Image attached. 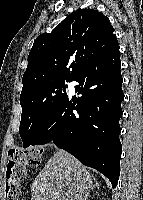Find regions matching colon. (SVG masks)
I'll return each instance as SVG.
<instances>
[{"label": "colon", "instance_id": "colon-1", "mask_svg": "<svg viewBox=\"0 0 143 200\" xmlns=\"http://www.w3.org/2000/svg\"><path fill=\"white\" fill-rule=\"evenodd\" d=\"M39 148L13 149L8 154L6 164L5 200H19L20 184L24 180L27 167H36L41 162Z\"/></svg>", "mask_w": 143, "mask_h": 200}]
</instances>
